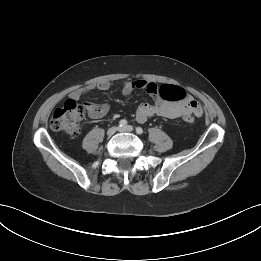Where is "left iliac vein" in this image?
<instances>
[{
	"mask_svg": "<svg viewBox=\"0 0 261 261\" xmlns=\"http://www.w3.org/2000/svg\"><path fill=\"white\" fill-rule=\"evenodd\" d=\"M119 131L121 132H132L133 131V127L130 125L124 126L122 128H119Z\"/></svg>",
	"mask_w": 261,
	"mask_h": 261,
	"instance_id": "left-iliac-vein-1",
	"label": "left iliac vein"
}]
</instances>
